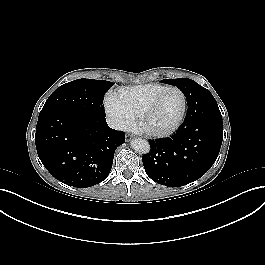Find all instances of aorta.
<instances>
[{"instance_id": "obj_1", "label": "aorta", "mask_w": 265, "mask_h": 265, "mask_svg": "<svg viewBox=\"0 0 265 265\" xmlns=\"http://www.w3.org/2000/svg\"><path fill=\"white\" fill-rule=\"evenodd\" d=\"M130 145L135 151L141 154H148L151 149L148 141L141 139V138L133 139Z\"/></svg>"}]
</instances>
